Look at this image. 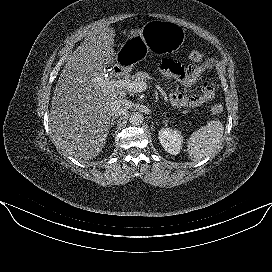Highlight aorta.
<instances>
[{
    "mask_svg": "<svg viewBox=\"0 0 272 272\" xmlns=\"http://www.w3.org/2000/svg\"><path fill=\"white\" fill-rule=\"evenodd\" d=\"M144 117L140 112H134L129 117V122L134 125L138 126L143 123Z\"/></svg>",
    "mask_w": 272,
    "mask_h": 272,
    "instance_id": "1",
    "label": "aorta"
}]
</instances>
